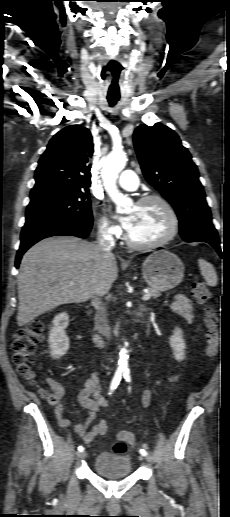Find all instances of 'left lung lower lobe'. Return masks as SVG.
Returning <instances> with one entry per match:
<instances>
[{
	"label": "left lung lower lobe",
	"mask_w": 230,
	"mask_h": 517,
	"mask_svg": "<svg viewBox=\"0 0 230 517\" xmlns=\"http://www.w3.org/2000/svg\"><path fill=\"white\" fill-rule=\"evenodd\" d=\"M185 241L187 242H198V241H201V242H206V243H209L213 248L216 249V251L218 252V254L220 256H222V251L220 249V242H219V238H218V235H217V232H214V231H209V232H206L196 238H192V239H184Z\"/></svg>",
	"instance_id": "0a47b994"
}]
</instances>
